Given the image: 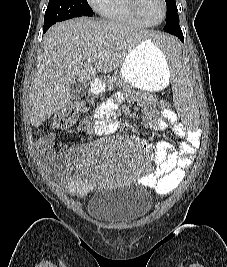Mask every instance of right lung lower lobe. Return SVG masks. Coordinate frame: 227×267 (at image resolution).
I'll list each match as a JSON object with an SVG mask.
<instances>
[{
    "instance_id": "right-lung-lower-lobe-1",
    "label": "right lung lower lobe",
    "mask_w": 227,
    "mask_h": 267,
    "mask_svg": "<svg viewBox=\"0 0 227 267\" xmlns=\"http://www.w3.org/2000/svg\"><path fill=\"white\" fill-rule=\"evenodd\" d=\"M54 23L56 22L44 23L43 33H45Z\"/></svg>"
}]
</instances>
